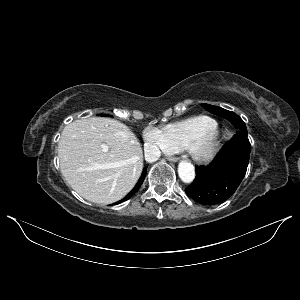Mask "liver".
Masks as SVG:
<instances>
[{"mask_svg":"<svg viewBox=\"0 0 300 300\" xmlns=\"http://www.w3.org/2000/svg\"><path fill=\"white\" fill-rule=\"evenodd\" d=\"M58 157L61 173L71 188L99 204H111L126 196L143 169L142 148L135 134L125 124L106 117L67 125L58 143Z\"/></svg>","mask_w":300,"mask_h":300,"instance_id":"obj_1","label":"liver"}]
</instances>
